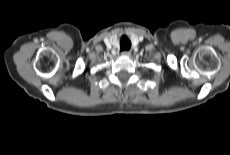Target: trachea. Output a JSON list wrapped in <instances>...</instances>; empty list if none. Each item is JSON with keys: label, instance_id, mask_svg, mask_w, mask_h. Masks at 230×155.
<instances>
[{"label": "trachea", "instance_id": "obj_1", "mask_svg": "<svg viewBox=\"0 0 230 155\" xmlns=\"http://www.w3.org/2000/svg\"><path fill=\"white\" fill-rule=\"evenodd\" d=\"M131 48V41L125 35H123L120 39V49L121 51L126 50L128 51Z\"/></svg>", "mask_w": 230, "mask_h": 155}]
</instances>
